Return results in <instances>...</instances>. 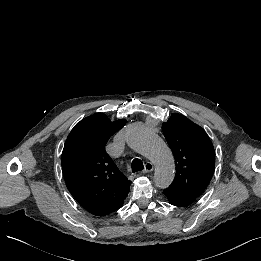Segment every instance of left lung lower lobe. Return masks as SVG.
Masks as SVG:
<instances>
[{"label":"left lung lower lobe","instance_id":"0a47b994","mask_svg":"<svg viewBox=\"0 0 261 261\" xmlns=\"http://www.w3.org/2000/svg\"><path fill=\"white\" fill-rule=\"evenodd\" d=\"M163 193L168 198L169 203L174 206L184 207L190 205L192 202L195 201V198H192L188 195H183L170 188L165 189Z\"/></svg>","mask_w":261,"mask_h":261}]
</instances>
